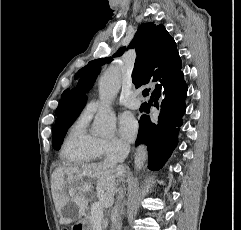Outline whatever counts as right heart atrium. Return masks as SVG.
I'll list each match as a JSON object with an SVG mask.
<instances>
[{
  "label": "right heart atrium",
  "mask_w": 241,
  "mask_h": 230,
  "mask_svg": "<svg viewBox=\"0 0 241 230\" xmlns=\"http://www.w3.org/2000/svg\"><path fill=\"white\" fill-rule=\"evenodd\" d=\"M99 147L101 155L109 157L122 155L128 150V145L118 138L100 140Z\"/></svg>",
  "instance_id": "obj_1"
}]
</instances>
